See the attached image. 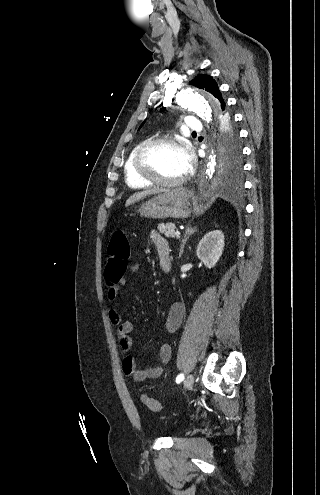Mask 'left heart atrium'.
Wrapping results in <instances>:
<instances>
[{
  "mask_svg": "<svg viewBox=\"0 0 320 495\" xmlns=\"http://www.w3.org/2000/svg\"><path fill=\"white\" fill-rule=\"evenodd\" d=\"M190 165H191V157H190V155H187V157H186V169H187V171L190 168Z\"/></svg>",
  "mask_w": 320,
  "mask_h": 495,
  "instance_id": "obj_1",
  "label": "left heart atrium"
}]
</instances>
